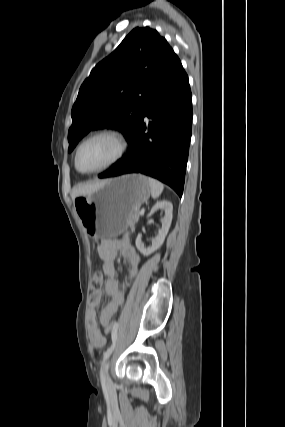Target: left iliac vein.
<instances>
[{
    "mask_svg": "<svg viewBox=\"0 0 285 427\" xmlns=\"http://www.w3.org/2000/svg\"><path fill=\"white\" fill-rule=\"evenodd\" d=\"M109 365H110V362L108 361L105 365V383H106V386L108 389H112L113 388V382H112V380L108 374Z\"/></svg>",
    "mask_w": 285,
    "mask_h": 427,
    "instance_id": "left-iliac-vein-1",
    "label": "left iliac vein"
}]
</instances>
